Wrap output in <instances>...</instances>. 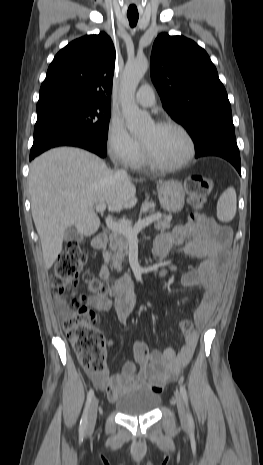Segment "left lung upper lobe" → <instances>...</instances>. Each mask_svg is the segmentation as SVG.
<instances>
[{
    "mask_svg": "<svg viewBox=\"0 0 263 465\" xmlns=\"http://www.w3.org/2000/svg\"><path fill=\"white\" fill-rule=\"evenodd\" d=\"M151 78L164 109L186 128L196 147L214 132L234 131L226 90L210 57L194 41L160 34L152 48Z\"/></svg>",
    "mask_w": 263,
    "mask_h": 465,
    "instance_id": "left-lung-upper-lobe-1",
    "label": "left lung upper lobe"
}]
</instances>
